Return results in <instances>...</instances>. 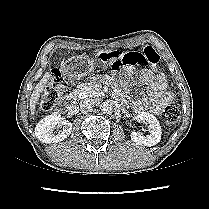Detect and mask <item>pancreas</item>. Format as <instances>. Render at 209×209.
Here are the masks:
<instances>
[{"label":"pancreas","instance_id":"obj_1","mask_svg":"<svg viewBox=\"0 0 209 209\" xmlns=\"http://www.w3.org/2000/svg\"><path fill=\"white\" fill-rule=\"evenodd\" d=\"M74 95L78 97V99L86 98V97H100L102 95V91L95 88V85L92 83H84L78 89L74 91Z\"/></svg>","mask_w":209,"mask_h":209}]
</instances>
